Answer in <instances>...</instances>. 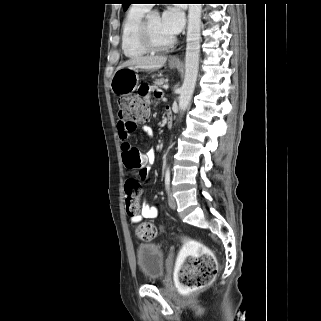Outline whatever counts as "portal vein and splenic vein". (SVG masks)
I'll return each instance as SVG.
<instances>
[{"label":"portal vein and splenic vein","instance_id":"18ae733b","mask_svg":"<svg viewBox=\"0 0 321 321\" xmlns=\"http://www.w3.org/2000/svg\"><path fill=\"white\" fill-rule=\"evenodd\" d=\"M163 88H164L165 90H167V89L169 88V86L166 84V85L163 86Z\"/></svg>","mask_w":321,"mask_h":321}]
</instances>
